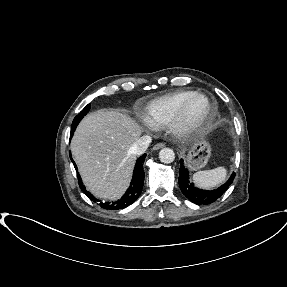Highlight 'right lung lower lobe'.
<instances>
[{
    "instance_id": "1",
    "label": "right lung lower lobe",
    "mask_w": 287,
    "mask_h": 287,
    "mask_svg": "<svg viewBox=\"0 0 287 287\" xmlns=\"http://www.w3.org/2000/svg\"><path fill=\"white\" fill-rule=\"evenodd\" d=\"M74 131H71L70 137L73 136ZM69 156H70L71 161L74 164V167L77 170L76 164L71 157V153H69ZM145 157H146V154H144L140 158H138L136 165H135V168H134V171H133V177H132L130 186L127 189L126 193L122 196V198L118 201H115V202H100L99 204L102 208L108 209V210H119V209H123V208L131 205L132 203H134L137 200V198L140 196V194L142 192L143 183H144L143 163H144ZM77 177H78V182H79L80 188L84 191V193L91 200L95 199L90 192L86 191L85 186L83 185L82 179H81L79 174L77 175Z\"/></svg>"
}]
</instances>
